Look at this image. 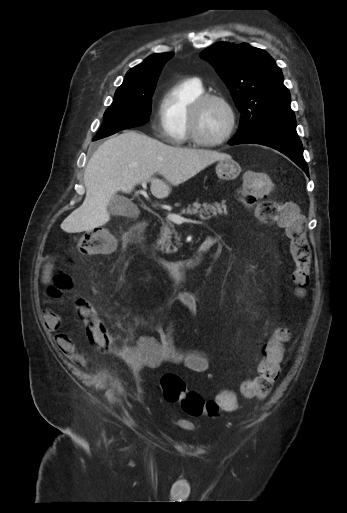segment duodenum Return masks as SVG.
<instances>
[{
    "label": "duodenum",
    "mask_w": 347,
    "mask_h": 513,
    "mask_svg": "<svg viewBox=\"0 0 347 513\" xmlns=\"http://www.w3.org/2000/svg\"><path fill=\"white\" fill-rule=\"evenodd\" d=\"M146 227L147 222L145 220L138 221L127 232L128 238L135 249H138L142 254L154 260L164 268L168 272L170 280L173 282L185 281L191 270L202 262L216 241L214 236H208L201 242L197 251L190 258L182 261L169 262L157 257L155 253L146 248Z\"/></svg>",
    "instance_id": "410a0bca"
}]
</instances>
